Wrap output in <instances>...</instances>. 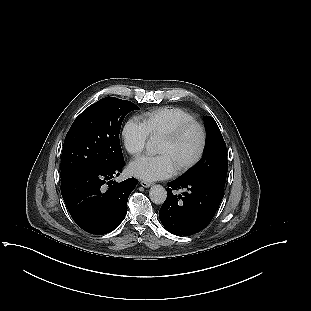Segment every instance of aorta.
I'll list each match as a JSON object with an SVG mask.
<instances>
[{
  "label": "aorta",
  "mask_w": 311,
  "mask_h": 311,
  "mask_svg": "<svg viewBox=\"0 0 311 311\" xmlns=\"http://www.w3.org/2000/svg\"><path fill=\"white\" fill-rule=\"evenodd\" d=\"M146 149L152 154L158 152V143L155 139H149L146 144ZM150 200L155 204H163L167 197L166 189L161 185H153L149 191Z\"/></svg>",
  "instance_id": "1"
}]
</instances>
